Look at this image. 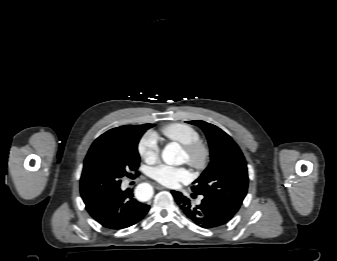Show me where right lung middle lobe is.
Returning <instances> with one entry per match:
<instances>
[{
    "label": "right lung middle lobe",
    "instance_id": "dd1d6c3e",
    "mask_svg": "<svg viewBox=\"0 0 337 261\" xmlns=\"http://www.w3.org/2000/svg\"><path fill=\"white\" fill-rule=\"evenodd\" d=\"M144 132L100 136L94 141L84 160L80 179V193L84 202L120 185L121 178L129 170H137L140 162L137 145Z\"/></svg>",
    "mask_w": 337,
    "mask_h": 261
}]
</instances>
